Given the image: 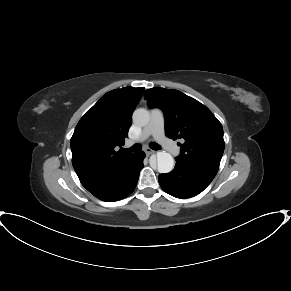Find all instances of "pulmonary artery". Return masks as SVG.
<instances>
[{"label":"pulmonary artery","mask_w":291,"mask_h":291,"mask_svg":"<svg viewBox=\"0 0 291 291\" xmlns=\"http://www.w3.org/2000/svg\"><path fill=\"white\" fill-rule=\"evenodd\" d=\"M149 137H153L172 154L179 152L178 146L165 136V115L161 108L155 107L151 109L149 123L143 128L139 136L130 140L127 145L140 144Z\"/></svg>","instance_id":"obj_1"}]
</instances>
